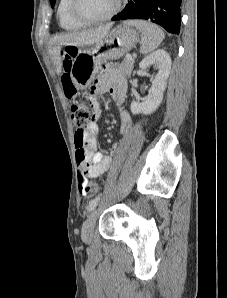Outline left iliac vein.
<instances>
[{"mask_svg": "<svg viewBox=\"0 0 227 298\" xmlns=\"http://www.w3.org/2000/svg\"><path fill=\"white\" fill-rule=\"evenodd\" d=\"M96 218H97V210L94 209L85 222L83 223L82 226V239L85 242H90L93 238V233H94V226L96 223Z\"/></svg>", "mask_w": 227, "mask_h": 298, "instance_id": "1", "label": "left iliac vein"}]
</instances>
